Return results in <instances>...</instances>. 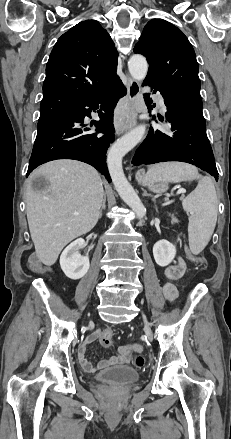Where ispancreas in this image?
Listing matches in <instances>:
<instances>
[{
    "label": "pancreas",
    "instance_id": "pancreas-1",
    "mask_svg": "<svg viewBox=\"0 0 231 439\" xmlns=\"http://www.w3.org/2000/svg\"><path fill=\"white\" fill-rule=\"evenodd\" d=\"M171 222L172 223H176V222H178V220L175 217H172V221Z\"/></svg>",
    "mask_w": 231,
    "mask_h": 439
}]
</instances>
